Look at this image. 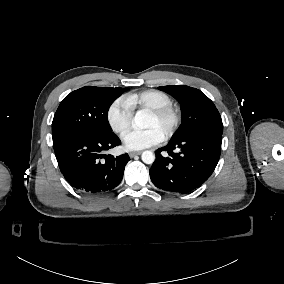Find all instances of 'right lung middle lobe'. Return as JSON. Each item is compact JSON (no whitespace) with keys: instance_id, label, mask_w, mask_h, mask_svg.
<instances>
[{"instance_id":"dd1d6c3e","label":"right lung middle lobe","mask_w":284,"mask_h":284,"mask_svg":"<svg viewBox=\"0 0 284 284\" xmlns=\"http://www.w3.org/2000/svg\"><path fill=\"white\" fill-rule=\"evenodd\" d=\"M122 92L120 87L85 86L68 94L53 118V143L73 134L112 133L108 110Z\"/></svg>"}]
</instances>
